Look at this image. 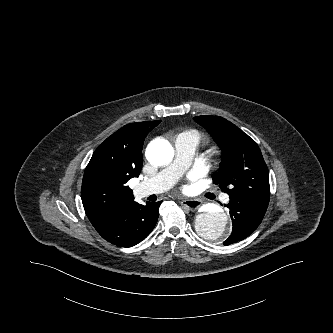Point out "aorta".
Wrapping results in <instances>:
<instances>
[{"mask_svg":"<svg viewBox=\"0 0 333 333\" xmlns=\"http://www.w3.org/2000/svg\"><path fill=\"white\" fill-rule=\"evenodd\" d=\"M174 155L171 144L162 139H156L146 148L147 160L156 166H163L172 161ZM195 227L202 237L219 242L224 240L230 231L227 214L218 206H202L196 215Z\"/></svg>","mask_w":333,"mask_h":333,"instance_id":"762f6f07","label":"aorta"}]
</instances>
